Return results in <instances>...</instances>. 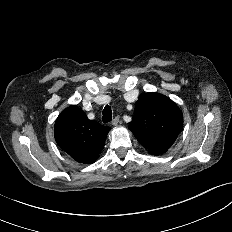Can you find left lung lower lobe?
<instances>
[{
    "mask_svg": "<svg viewBox=\"0 0 232 232\" xmlns=\"http://www.w3.org/2000/svg\"><path fill=\"white\" fill-rule=\"evenodd\" d=\"M168 149H163V150H160L158 152H155V153H151L152 155H160V154H163L164 152H166Z\"/></svg>",
    "mask_w": 232,
    "mask_h": 232,
    "instance_id": "0a47b994",
    "label": "left lung lower lobe"
}]
</instances>
